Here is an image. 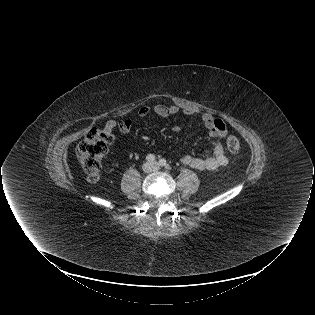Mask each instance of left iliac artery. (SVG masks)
<instances>
[{"label": "left iliac artery", "mask_w": 315, "mask_h": 315, "mask_svg": "<svg viewBox=\"0 0 315 315\" xmlns=\"http://www.w3.org/2000/svg\"><path fill=\"white\" fill-rule=\"evenodd\" d=\"M158 164H159L160 166H166V165H167V162H166L165 159H160Z\"/></svg>", "instance_id": "obj_1"}]
</instances>
